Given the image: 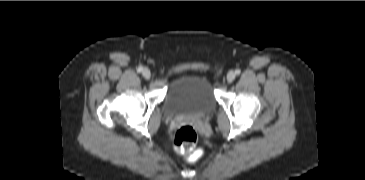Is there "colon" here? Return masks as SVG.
Masks as SVG:
<instances>
[{
	"label": "colon",
	"mask_w": 365,
	"mask_h": 180,
	"mask_svg": "<svg viewBox=\"0 0 365 180\" xmlns=\"http://www.w3.org/2000/svg\"><path fill=\"white\" fill-rule=\"evenodd\" d=\"M197 139L194 128L191 125H183L175 132L173 145L175 150L189 162H196L202 157V151L196 149Z\"/></svg>",
	"instance_id": "1"
}]
</instances>
